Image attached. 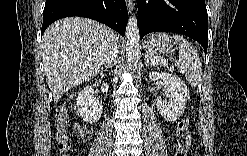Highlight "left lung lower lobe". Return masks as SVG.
I'll list each match as a JSON object with an SVG mask.
<instances>
[{"label": "left lung lower lobe", "instance_id": "1", "mask_svg": "<svg viewBox=\"0 0 247 156\" xmlns=\"http://www.w3.org/2000/svg\"><path fill=\"white\" fill-rule=\"evenodd\" d=\"M140 39L151 32H175L198 41L207 53L205 0H138Z\"/></svg>", "mask_w": 247, "mask_h": 156}]
</instances>
